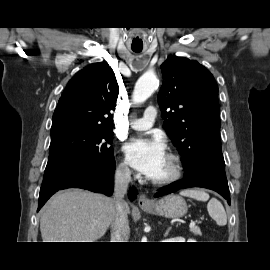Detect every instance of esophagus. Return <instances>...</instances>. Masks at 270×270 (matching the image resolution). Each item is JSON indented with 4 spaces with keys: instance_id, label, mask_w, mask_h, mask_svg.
<instances>
[{
    "instance_id": "1",
    "label": "esophagus",
    "mask_w": 270,
    "mask_h": 270,
    "mask_svg": "<svg viewBox=\"0 0 270 270\" xmlns=\"http://www.w3.org/2000/svg\"><path fill=\"white\" fill-rule=\"evenodd\" d=\"M152 201H150L145 194H141L138 199V205L140 207L150 206L152 205Z\"/></svg>"
}]
</instances>
